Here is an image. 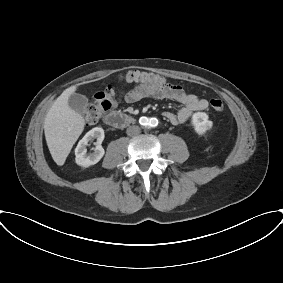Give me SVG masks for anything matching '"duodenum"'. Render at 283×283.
<instances>
[{"label":"duodenum","instance_id":"obj_1","mask_svg":"<svg viewBox=\"0 0 283 283\" xmlns=\"http://www.w3.org/2000/svg\"><path fill=\"white\" fill-rule=\"evenodd\" d=\"M104 122L111 127L123 128L133 124L135 122V118L131 115L118 111H112L105 115Z\"/></svg>","mask_w":283,"mask_h":283}]
</instances>
